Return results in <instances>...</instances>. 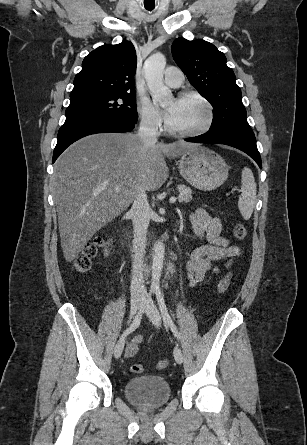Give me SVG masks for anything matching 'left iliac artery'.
Instances as JSON below:
<instances>
[{
  "mask_svg": "<svg viewBox=\"0 0 307 445\" xmlns=\"http://www.w3.org/2000/svg\"><path fill=\"white\" fill-rule=\"evenodd\" d=\"M155 294H156L158 306H159V309L161 311V315L163 317L164 323L167 324L170 327V329L173 332L174 336L177 339H179L180 338L179 332H178L177 327L174 324L172 318L170 317V315L168 313V310H167V307H166V304H165V300H164V297H163L161 291L160 290H156Z\"/></svg>",
  "mask_w": 307,
  "mask_h": 445,
  "instance_id": "1",
  "label": "left iliac artery"
}]
</instances>
